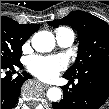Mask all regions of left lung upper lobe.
<instances>
[{"mask_svg":"<svg viewBox=\"0 0 109 109\" xmlns=\"http://www.w3.org/2000/svg\"><path fill=\"white\" fill-rule=\"evenodd\" d=\"M50 25H70L79 36L78 55L65 75L75 76L96 64L109 65V25L102 19L84 11L49 22Z\"/></svg>","mask_w":109,"mask_h":109,"instance_id":"obj_1","label":"left lung upper lobe"}]
</instances>
